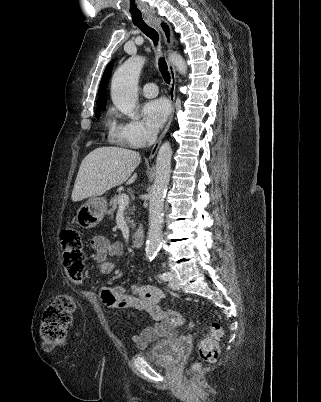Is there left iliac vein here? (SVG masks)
<instances>
[{
    "label": "left iliac vein",
    "instance_id": "left-iliac-vein-1",
    "mask_svg": "<svg viewBox=\"0 0 321 402\" xmlns=\"http://www.w3.org/2000/svg\"><path fill=\"white\" fill-rule=\"evenodd\" d=\"M169 273H170L171 276H172V278H171V280H170V282H169L170 288H172L173 290H179L180 287H179V283H178V279H177L176 273H175L174 271H171V272H169Z\"/></svg>",
    "mask_w": 321,
    "mask_h": 402
}]
</instances>
